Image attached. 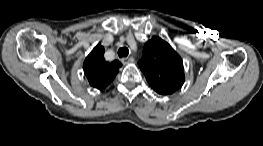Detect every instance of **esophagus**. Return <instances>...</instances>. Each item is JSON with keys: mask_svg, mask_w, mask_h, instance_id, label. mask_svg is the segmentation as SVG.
<instances>
[{"mask_svg": "<svg viewBox=\"0 0 263 146\" xmlns=\"http://www.w3.org/2000/svg\"><path fill=\"white\" fill-rule=\"evenodd\" d=\"M121 61L123 64H128V63H132L134 61V58L133 57L122 58Z\"/></svg>", "mask_w": 263, "mask_h": 146, "instance_id": "34e87169", "label": "esophagus"}]
</instances>
